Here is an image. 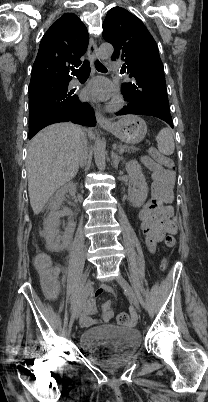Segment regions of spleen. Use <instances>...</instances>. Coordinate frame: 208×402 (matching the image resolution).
Listing matches in <instances>:
<instances>
[{"label": "spleen", "mask_w": 208, "mask_h": 402, "mask_svg": "<svg viewBox=\"0 0 208 402\" xmlns=\"http://www.w3.org/2000/svg\"><path fill=\"white\" fill-rule=\"evenodd\" d=\"M158 142V150L164 156H171L174 154L175 144L173 140V134L169 128H163L160 130L158 136H156Z\"/></svg>", "instance_id": "spleen-1"}]
</instances>
